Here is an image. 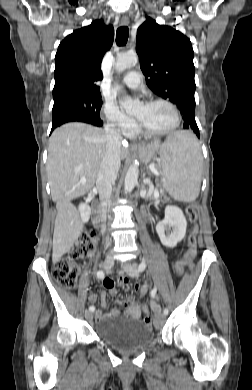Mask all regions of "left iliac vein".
<instances>
[{
  "label": "left iliac vein",
  "instance_id": "4c4485c4",
  "mask_svg": "<svg viewBox=\"0 0 252 390\" xmlns=\"http://www.w3.org/2000/svg\"><path fill=\"white\" fill-rule=\"evenodd\" d=\"M123 270L131 277H138L139 272L137 270V266L135 264H122ZM157 315L158 321H161L164 317L165 314H162L159 310V308L154 309Z\"/></svg>",
  "mask_w": 252,
  "mask_h": 390
}]
</instances>
